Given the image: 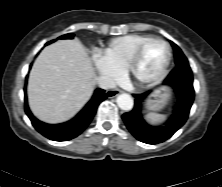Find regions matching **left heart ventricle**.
Masks as SVG:
<instances>
[{"label": "left heart ventricle", "instance_id": "left-heart-ventricle-1", "mask_svg": "<svg viewBox=\"0 0 222 187\" xmlns=\"http://www.w3.org/2000/svg\"><path fill=\"white\" fill-rule=\"evenodd\" d=\"M168 57L165 44L154 41L149 43L136 68V75L141 79H150L156 76L164 67Z\"/></svg>", "mask_w": 222, "mask_h": 187}]
</instances>
